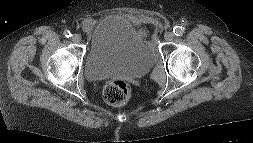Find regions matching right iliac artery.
Instances as JSON below:
<instances>
[{
    "mask_svg": "<svg viewBox=\"0 0 253 143\" xmlns=\"http://www.w3.org/2000/svg\"><path fill=\"white\" fill-rule=\"evenodd\" d=\"M64 35H65V37H67V38H70V37L72 36L71 32L68 31V30H66V31L64 32Z\"/></svg>",
    "mask_w": 253,
    "mask_h": 143,
    "instance_id": "1",
    "label": "right iliac artery"
}]
</instances>
